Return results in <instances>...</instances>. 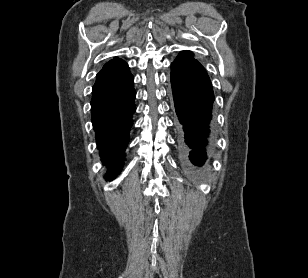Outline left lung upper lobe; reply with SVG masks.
Instances as JSON below:
<instances>
[{"label": "left lung upper lobe", "mask_w": 308, "mask_h": 278, "mask_svg": "<svg viewBox=\"0 0 308 278\" xmlns=\"http://www.w3.org/2000/svg\"><path fill=\"white\" fill-rule=\"evenodd\" d=\"M193 56H194V54L191 51H182V52L179 53V55L177 56L175 61L189 60V59H192Z\"/></svg>", "instance_id": "left-lung-upper-lobe-1"}]
</instances>
